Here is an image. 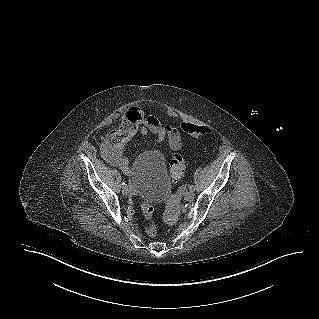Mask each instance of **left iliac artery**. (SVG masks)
Returning <instances> with one entry per match:
<instances>
[{
  "mask_svg": "<svg viewBox=\"0 0 319 319\" xmlns=\"http://www.w3.org/2000/svg\"><path fill=\"white\" fill-rule=\"evenodd\" d=\"M189 189H190V191H194L195 187L193 185H191Z\"/></svg>",
  "mask_w": 319,
  "mask_h": 319,
  "instance_id": "44dca946",
  "label": "left iliac artery"
}]
</instances>
